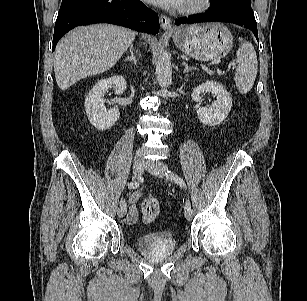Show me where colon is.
I'll return each mask as SVG.
<instances>
[{
	"label": "colon",
	"mask_w": 307,
	"mask_h": 301,
	"mask_svg": "<svg viewBox=\"0 0 307 301\" xmlns=\"http://www.w3.org/2000/svg\"><path fill=\"white\" fill-rule=\"evenodd\" d=\"M160 212L158 200L149 195L142 203V215L145 223H152Z\"/></svg>",
	"instance_id": "obj_1"
}]
</instances>
